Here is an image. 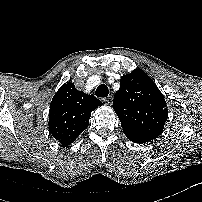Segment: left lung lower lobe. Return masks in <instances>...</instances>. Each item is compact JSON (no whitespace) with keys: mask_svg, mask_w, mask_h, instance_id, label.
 <instances>
[{"mask_svg":"<svg viewBox=\"0 0 202 202\" xmlns=\"http://www.w3.org/2000/svg\"><path fill=\"white\" fill-rule=\"evenodd\" d=\"M131 141L135 142V143H139V144H143V143H146L145 141H138V140H135V139H130Z\"/></svg>","mask_w":202,"mask_h":202,"instance_id":"1","label":"left lung lower lobe"}]
</instances>
